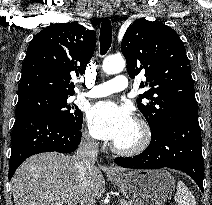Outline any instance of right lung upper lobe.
<instances>
[{
  "instance_id": "cb5924a9",
  "label": "right lung upper lobe",
  "mask_w": 212,
  "mask_h": 205,
  "mask_svg": "<svg viewBox=\"0 0 212 205\" xmlns=\"http://www.w3.org/2000/svg\"><path fill=\"white\" fill-rule=\"evenodd\" d=\"M95 45V31L77 22L52 24L41 30L26 52L19 98L34 93L73 95L71 74L84 73Z\"/></svg>"
}]
</instances>
